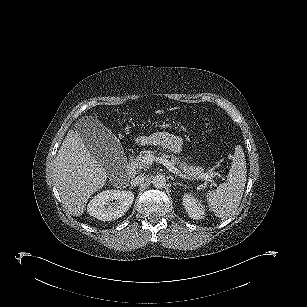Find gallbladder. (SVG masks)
I'll return each instance as SVG.
<instances>
[{
  "label": "gallbladder",
  "mask_w": 307,
  "mask_h": 307,
  "mask_svg": "<svg viewBox=\"0 0 307 307\" xmlns=\"http://www.w3.org/2000/svg\"><path fill=\"white\" fill-rule=\"evenodd\" d=\"M86 148L100 162L106 165L121 157L122 148L119 141L99 122L87 119L80 130ZM108 171H112L113 168Z\"/></svg>",
  "instance_id": "gallbladder-1"
}]
</instances>
